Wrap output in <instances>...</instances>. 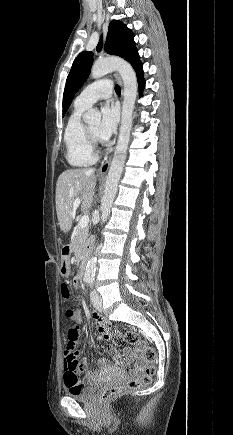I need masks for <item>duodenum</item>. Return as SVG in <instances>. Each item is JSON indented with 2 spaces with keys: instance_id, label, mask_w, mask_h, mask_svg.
<instances>
[{
  "instance_id": "410a0bca",
  "label": "duodenum",
  "mask_w": 233,
  "mask_h": 435,
  "mask_svg": "<svg viewBox=\"0 0 233 435\" xmlns=\"http://www.w3.org/2000/svg\"><path fill=\"white\" fill-rule=\"evenodd\" d=\"M71 251H72V248H71L70 246H65V247L63 248V250H62V259H63V260H67L68 257H69L70 254H71ZM84 273H85V267L82 266V267L80 268V270H79L78 278H79V279H82L83 276H84Z\"/></svg>"
}]
</instances>
